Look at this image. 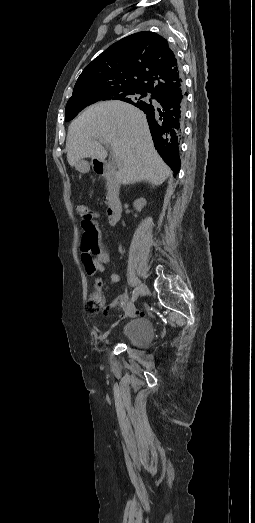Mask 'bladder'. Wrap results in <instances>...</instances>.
Here are the masks:
<instances>
[{"label":"bladder","instance_id":"obj_1","mask_svg":"<svg viewBox=\"0 0 255 523\" xmlns=\"http://www.w3.org/2000/svg\"><path fill=\"white\" fill-rule=\"evenodd\" d=\"M121 336L134 347H144L154 337L152 323L146 319H137L125 327Z\"/></svg>","mask_w":255,"mask_h":523}]
</instances>
